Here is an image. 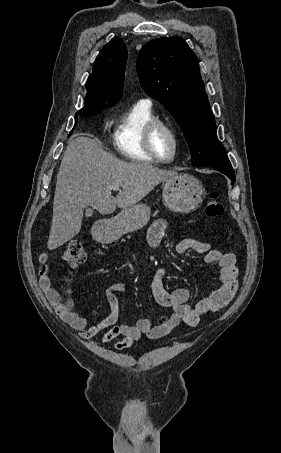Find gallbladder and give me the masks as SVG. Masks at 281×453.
<instances>
[{"mask_svg":"<svg viewBox=\"0 0 281 453\" xmlns=\"http://www.w3.org/2000/svg\"><path fill=\"white\" fill-rule=\"evenodd\" d=\"M91 214H93L92 208H87V210L85 212V216H91Z\"/></svg>","mask_w":281,"mask_h":453,"instance_id":"bac80fb5","label":"gallbladder"}]
</instances>
